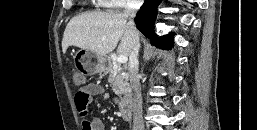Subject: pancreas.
Segmentation results:
<instances>
[{"mask_svg":"<svg viewBox=\"0 0 257 130\" xmlns=\"http://www.w3.org/2000/svg\"><path fill=\"white\" fill-rule=\"evenodd\" d=\"M108 81L116 95L120 96L127 92L128 75L122 71L119 63H114L113 66L109 67Z\"/></svg>","mask_w":257,"mask_h":130,"instance_id":"cf45deb5","label":"pancreas"}]
</instances>
